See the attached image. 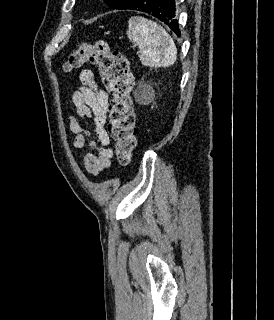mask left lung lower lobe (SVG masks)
Listing matches in <instances>:
<instances>
[{
    "mask_svg": "<svg viewBox=\"0 0 274 320\" xmlns=\"http://www.w3.org/2000/svg\"><path fill=\"white\" fill-rule=\"evenodd\" d=\"M123 9H132L151 14L168 25L178 36L180 35L176 17L174 0H132Z\"/></svg>",
    "mask_w": 274,
    "mask_h": 320,
    "instance_id": "0a47b994",
    "label": "left lung lower lobe"
}]
</instances>
